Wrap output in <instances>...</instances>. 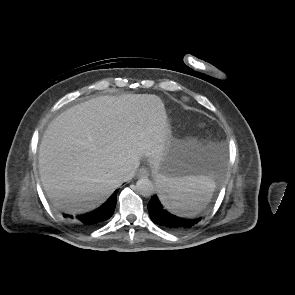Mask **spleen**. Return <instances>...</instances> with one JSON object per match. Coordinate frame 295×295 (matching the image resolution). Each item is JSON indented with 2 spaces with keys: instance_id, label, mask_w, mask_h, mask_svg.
<instances>
[{
  "instance_id": "obj_1",
  "label": "spleen",
  "mask_w": 295,
  "mask_h": 295,
  "mask_svg": "<svg viewBox=\"0 0 295 295\" xmlns=\"http://www.w3.org/2000/svg\"><path fill=\"white\" fill-rule=\"evenodd\" d=\"M159 199L170 212L192 218L205 208L215 190L211 175L156 177Z\"/></svg>"
}]
</instances>
